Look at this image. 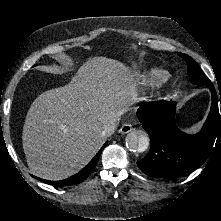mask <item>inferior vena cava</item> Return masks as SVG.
Wrapping results in <instances>:
<instances>
[{"instance_id": "obj_1", "label": "inferior vena cava", "mask_w": 221, "mask_h": 221, "mask_svg": "<svg viewBox=\"0 0 221 221\" xmlns=\"http://www.w3.org/2000/svg\"><path fill=\"white\" fill-rule=\"evenodd\" d=\"M116 126H117L116 120H111L109 124L104 126L103 130L101 131V136L102 137L110 136L111 134L114 133Z\"/></svg>"}]
</instances>
